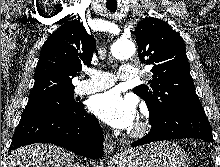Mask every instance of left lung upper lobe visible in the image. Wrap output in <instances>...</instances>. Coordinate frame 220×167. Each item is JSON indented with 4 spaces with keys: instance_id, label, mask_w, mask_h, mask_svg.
I'll return each instance as SVG.
<instances>
[{
    "instance_id": "obj_1",
    "label": "left lung upper lobe",
    "mask_w": 220,
    "mask_h": 167,
    "mask_svg": "<svg viewBox=\"0 0 220 167\" xmlns=\"http://www.w3.org/2000/svg\"><path fill=\"white\" fill-rule=\"evenodd\" d=\"M135 35L140 60L153 65L150 85L133 89L147 103L149 114L163 113L174 103L200 104L180 34L165 21L148 17L138 23Z\"/></svg>"
}]
</instances>
